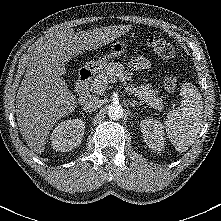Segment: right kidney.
I'll use <instances>...</instances> for the list:
<instances>
[{
  "label": "right kidney",
  "mask_w": 221,
  "mask_h": 221,
  "mask_svg": "<svg viewBox=\"0 0 221 221\" xmlns=\"http://www.w3.org/2000/svg\"><path fill=\"white\" fill-rule=\"evenodd\" d=\"M85 124L82 119H70L61 122L51 134L52 148L67 152L77 147L83 138Z\"/></svg>",
  "instance_id": "ca27d5eb"
}]
</instances>
